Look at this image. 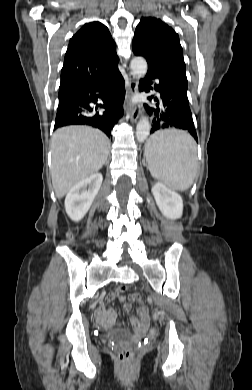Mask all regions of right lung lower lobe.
Listing matches in <instances>:
<instances>
[{
    "label": "right lung lower lobe",
    "mask_w": 252,
    "mask_h": 390,
    "mask_svg": "<svg viewBox=\"0 0 252 390\" xmlns=\"http://www.w3.org/2000/svg\"><path fill=\"white\" fill-rule=\"evenodd\" d=\"M124 97V80L118 67L101 82L86 85L59 99L54 129L66 125H90L111 137V130L123 114L121 98ZM101 98V108L96 111L90 103Z\"/></svg>",
    "instance_id": "98d812e1"
}]
</instances>
